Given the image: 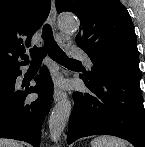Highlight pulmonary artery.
<instances>
[{
  "label": "pulmonary artery",
  "mask_w": 145,
  "mask_h": 147,
  "mask_svg": "<svg viewBox=\"0 0 145 147\" xmlns=\"http://www.w3.org/2000/svg\"><path fill=\"white\" fill-rule=\"evenodd\" d=\"M71 56L73 58L83 60L89 67L93 66V62H92L91 58L83 51H77V50L72 51Z\"/></svg>",
  "instance_id": "e3ab8cb5"
}]
</instances>
